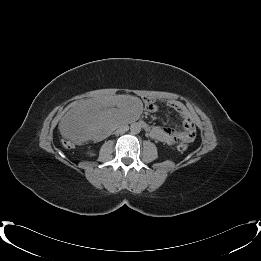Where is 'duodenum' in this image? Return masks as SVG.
Returning a JSON list of instances; mask_svg holds the SVG:
<instances>
[{"label": "duodenum", "instance_id": "410a0bca", "mask_svg": "<svg viewBox=\"0 0 261 261\" xmlns=\"http://www.w3.org/2000/svg\"><path fill=\"white\" fill-rule=\"evenodd\" d=\"M140 124L144 127V129H145L146 131H148V130L150 129V127H149L148 125H146L145 123L140 122Z\"/></svg>", "mask_w": 261, "mask_h": 261}]
</instances>
